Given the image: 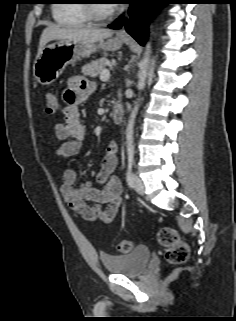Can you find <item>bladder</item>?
<instances>
[{"instance_id":"31cf9c89","label":"bladder","mask_w":236,"mask_h":321,"mask_svg":"<svg viewBox=\"0 0 236 321\" xmlns=\"http://www.w3.org/2000/svg\"><path fill=\"white\" fill-rule=\"evenodd\" d=\"M151 251L146 245H138L127 254L101 255L105 270L114 275L138 276L146 268Z\"/></svg>"}]
</instances>
